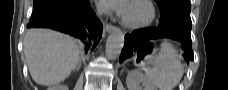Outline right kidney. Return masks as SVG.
I'll list each match as a JSON object with an SVG mask.
<instances>
[{"label": "right kidney", "instance_id": "right-kidney-1", "mask_svg": "<svg viewBox=\"0 0 228 90\" xmlns=\"http://www.w3.org/2000/svg\"><path fill=\"white\" fill-rule=\"evenodd\" d=\"M48 90H68L67 86L63 85H56V86H51L48 88Z\"/></svg>", "mask_w": 228, "mask_h": 90}]
</instances>
